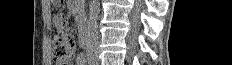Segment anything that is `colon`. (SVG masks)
Masks as SVG:
<instances>
[{"label": "colon", "instance_id": "1", "mask_svg": "<svg viewBox=\"0 0 232 65\" xmlns=\"http://www.w3.org/2000/svg\"><path fill=\"white\" fill-rule=\"evenodd\" d=\"M75 52V43L72 37L55 36L52 42L54 61L59 64H67Z\"/></svg>", "mask_w": 232, "mask_h": 65}]
</instances>
